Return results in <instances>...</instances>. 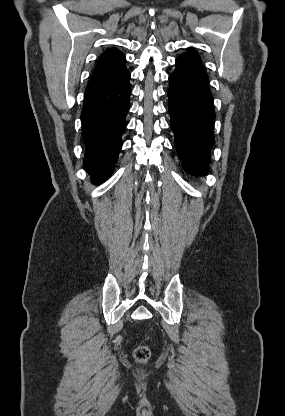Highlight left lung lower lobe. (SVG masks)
Listing matches in <instances>:
<instances>
[{
  "label": "left lung lower lobe",
  "mask_w": 285,
  "mask_h": 416,
  "mask_svg": "<svg viewBox=\"0 0 285 416\" xmlns=\"http://www.w3.org/2000/svg\"><path fill=\"white\" fill-rule=\"evenodd\" d=\"M169 81L168 107L175 148L186 171L205 175L214 142L215 120L208 76L201 61L179 56Z\"/></svg>",
  "instance_id": "obj_1"
}]
</instances>
